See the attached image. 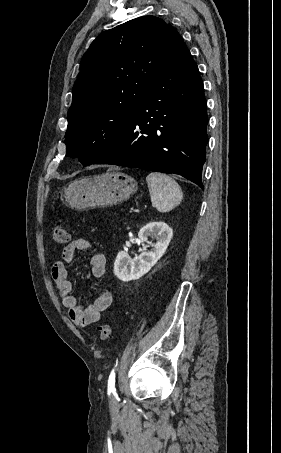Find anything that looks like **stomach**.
<instances>
[{
	"mask_svg": "<svg viewBox=\"0 0 281 453\" xmlns=\"http://www.w3.org/2000/svg\"><path fill=\"white\" fill-rule=\"evenodd\" d=\"M137 188L138 184L133 176L109 168L103 174L72 180L63 188L62 196L71 208L87 210L123 202L130 198Z\"/></svg>",
	"mask_w": 281,
	"mask_h": 453,
	"instance_id": "1",
	"label": "stomach"
}]
</instances>
